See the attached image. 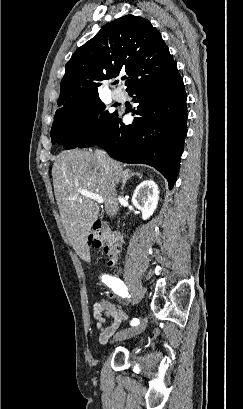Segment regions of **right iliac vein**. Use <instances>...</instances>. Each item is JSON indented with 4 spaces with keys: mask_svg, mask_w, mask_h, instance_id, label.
<instances>
[{
    "mask_svg": "<svg viewBox=\"0 0 243 409\" xmlns=\"http://www.w3.org/2000/svg\"><path fill=\"white\" fill-rule=\"evenodd\" d=\"M146 319H144L141 324H139L138 326L132 327V328H128L125 330L120 331L119 333H117L115 335V339L117 341H122V340H126L129 338H132L134 336L139 335L140 333H142L145 328H146Z\"/></svg>",
    "mask_w": 243,
    "mask_h": 409,
    "instance_id": "63e3f726",
    "label": "right iliac vein"
}]
</instances>
